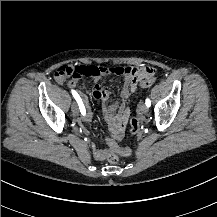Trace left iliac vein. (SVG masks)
<instances>
[{"label":"left iliac vein","mask_w":217,"mask_h":217,"mask_svg":"<svg viewBox=\"0 0 217 217\" xmlns=\"http://www.w3.org/2000/svg\"><path fill=\"white\" fill-rule=\"evenodd\" d=\"M139 110L143 114H147L148 111H149L148 107L145 104H141L140 107H139Z\"/></svg>","instance_id":"obj_1"}]
</instances>
